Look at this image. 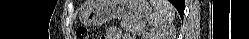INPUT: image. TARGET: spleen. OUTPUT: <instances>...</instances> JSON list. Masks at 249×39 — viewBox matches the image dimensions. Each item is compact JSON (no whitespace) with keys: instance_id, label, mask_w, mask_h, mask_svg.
<instances>
[{"instance_id":"spleen-1","label":"spleen","mask_w":249,"mask_h":39,"mask_svg":"<svg viewBox=\"0 0 249 39\" xmlns=\"http://www.w3.org/2000/svg\"><path fill=\"white\" fill-rule=\"evenodd\" d=\"M154 13L150 16V23L155 29L162 30L170 24L175 16L174 6L167 0H150Z\"/></svg>"}]
</instances>
